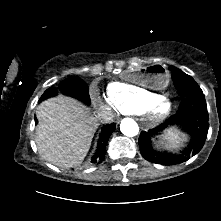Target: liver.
Masks as SVG:
<instances>
[{"label":"liver","mask_w":221,"mask_h":221,"mask_svg":"<svg viewBox=\"0 0 221 221\" xmlns=\"http://www.w3.org/2000/svg\"><path fill=\"white\" fill-rule=\"evenodd\" d=\"M36 115L35 142L41 157L58 167L80 165L99 125L96 116L76 99L64 95L43 101Z\"/></svg>","instance_id":"obj_1"}]
</instances>
